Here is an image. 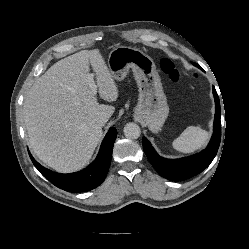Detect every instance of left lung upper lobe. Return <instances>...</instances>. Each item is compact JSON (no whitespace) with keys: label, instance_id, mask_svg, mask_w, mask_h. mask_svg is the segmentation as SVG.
Returning a JSON list of instances; mask_svg holds the SVG:
<instances>
[{"label":"left lung upper lobe","instance_id":"1","mask_svg":"<svg viewBox=\"0 0 249 249\" xmlns=\"http://www.w3.org/2000/svg\"><path fill=\"white\" fill-rule=\"evenodd\" d=\"M194 65H196L197 67H200L198 64H195V63H193Z\"/></svg>","mask_w":249,"mask_h":249}]
</instances>
